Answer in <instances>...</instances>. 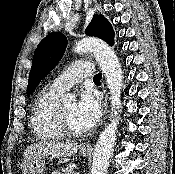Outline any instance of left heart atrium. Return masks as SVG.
<instances>
[{
  "label": "left heart atrium",
  "instance_id": "left-heart-atrium-1",
  "mask_svg": "<svg viewBox=\"0 0 175 174\" xmlns=\"http://www.w3.org/2000/svg\"><path fill=\"white\" fill-rule=\"evenodd\" d=\"M101 106L96 95L89 90L83 91L76 104V117L81 126L88 130L100 119Z\"/></svg>",
  "mask_w": 175,
  "mask_h": 174
}]
</instances>
